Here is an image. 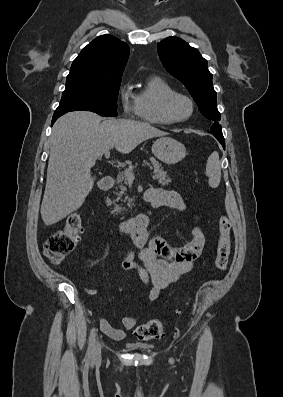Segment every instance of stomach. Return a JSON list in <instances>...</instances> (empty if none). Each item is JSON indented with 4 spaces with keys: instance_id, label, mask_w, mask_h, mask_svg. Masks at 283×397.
<instances>
[{
    "instance_id": "1",
    "label": "stomach",
    "mask_w": 283,
    "mask_h": 397,
    "mask_svg": "<svg viewBox=\"0 0 283 397\" xmlns=\"http://www.w3.org/2000/svg\"><path fill=\"white\" fill-rule=\"evenodd\" d=\"M152 153L160 161L172 165L185 157L186 148L182 143L171 137H161L154 142Z\"/></svg>"
}]
</instances>
